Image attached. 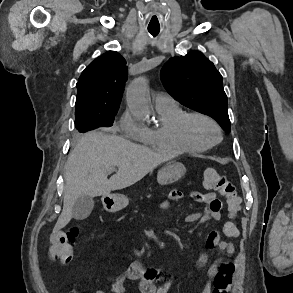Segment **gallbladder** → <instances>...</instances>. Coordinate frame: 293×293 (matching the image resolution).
I'll return each instance as SVG.
<instances>
[{
  "label": "gallbladder",
  "mask_w": 293,
  "mask_h": 293,
  "mask_svg": "<svg viewBox=\"0 0 293 293\" xmlns=\"http://www.w3.org/2000/svg\"><path fill=\"white\" fill-rule=\"evenodd\" d=\"M94 207L93 197L82 195L75 201L72 208V216L76 220L86 219Z\"/></svg>",
  "instance_id": "1"
}]
</instances>
